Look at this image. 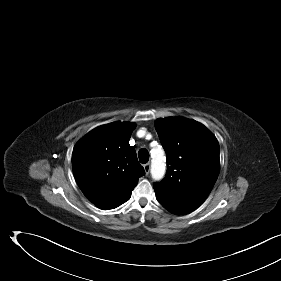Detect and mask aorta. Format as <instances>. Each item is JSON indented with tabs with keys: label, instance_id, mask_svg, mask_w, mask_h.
I'll use <instances>...</instances> for the list:
<instances>
[{
	"label": "aorta",
	"instance_id": "762f6f07",
	"mask_svg": "<svg viewBox=\"0 0 281 281\" xmlns=\"http://www.w3.org/2000/svg\"><path fill=\"white\" fill-rule=\"evenodd\" d=\"M151 175L154 180H160L165 175L166 160L163 149L158 146L151 150Z\"/></svg>",
	"mask_w": 281,
	"mask_h": 281
}]
</instances>
